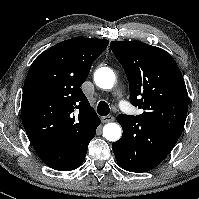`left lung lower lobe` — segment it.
Returning a JSON list of instances; mask_svg holds the SVG:
<instances>
[{"label": "left lung lower lobe", "mask_w": 199, "mask_h": 199, "mask_svg": "<svg viewBox=\"0 0 199 199\" xmlns=\"http://www.w3.org/2000/svg\"><path fill=\"white\" fill-rule=\"evenodd\" d=\"M117 121L123 135L112 143V149L118 164L126 171L142 173L158 166L179 139L134 116L121 114Z\"/></svg>", "instance_id": "obj_1"}]
</instances>
